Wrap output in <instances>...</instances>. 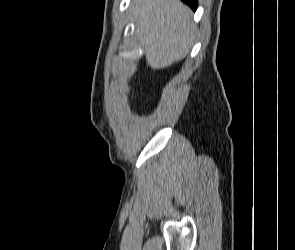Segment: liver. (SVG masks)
Returning <instances> with one entry per match:
<instances>
[{
    "mask_svg": "<svg viewBox=\"0 0 295 250\" xmlns=\"http://www.w3.org/2000/svg\"><path fill=\"white\" fill-rule=\"evenodd\" d=\"M131 7L137 36L152 69L187 56L194 31L187 5L179 0H134Z\"/></svg>",
    "mask_w": 295,
    "mask_h": 250,
    "instance_id": "obj_1",
    "label": "liver"
}]
</instances>
